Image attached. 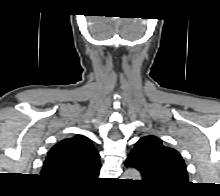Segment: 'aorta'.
<instances>
[{"label":"aorta","instance_id":"aorta-1","mask_svg":"<svg viewBox=\"0 0 220 196\" xmlns=\"http://www.w3.org/2000/svg\"><path fill=\"white\" fill-rule=\"evenodd\" d=\"M123 179L140 180L141 179V175H140V173L136 169L130 168V169H127L124 172Z\"/></svg>","mask_w":220,"mask_h":196}]
</instances>
